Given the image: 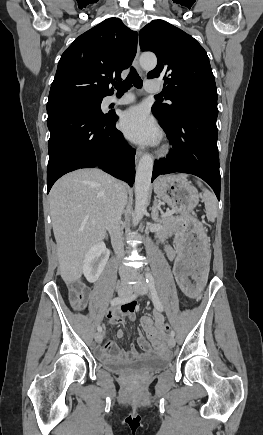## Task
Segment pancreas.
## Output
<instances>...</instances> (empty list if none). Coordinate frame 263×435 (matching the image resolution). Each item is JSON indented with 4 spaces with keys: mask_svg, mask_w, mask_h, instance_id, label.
<instances>
[{
    "mask_svg": "<svg viewBox=\"0 0 263 435\" xmlns=\"http://www.w3.org/2000/svg\"><path fill=\"white\" fill-rule=\"evenodd\" d=\"M180 209H174L172 214H168L166 216H163L159 222L163 224L164 229L157 234V236L161 239L165 238L170 234V232L173 230V225L177 222H182L186 219V216H174V214L180 212Z\"/></svg>",
    "mask_w": 263,
    "mask_h": 435,
    "instance_id": "pancreas-1",
    "label": "pancreas"
}]
</instances>
